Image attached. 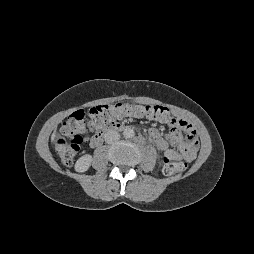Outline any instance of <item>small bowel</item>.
<instances>
[{"label": "small bowel", "instance_id": "small-bowel-1", "mask_svg": "<svg viewBox=\"0 0 254 254\" xmlns=\"http://www.w3.org/2000/svg\"><path fill=\"white\" fill-rule=\"evenodd\" d=\"M157 120L170 128L166 136L156 128L150 130V137L162 151L164 159L192 162L198 150V137L191 122L184 117H172L167 111L164 118ZM183 132L186 133V138L183 137ZM171 145L177 146L178 150L172 149Z\"/></svg>", "mask_w": 254, "mask_h": 254}]
</instances>
